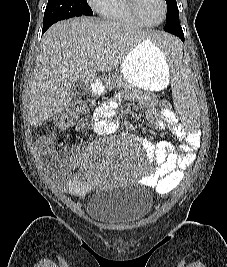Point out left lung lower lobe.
I'll list each match as a JSON object with an SVG mask.
<instances>
[{
    "label": "left lung lower lobe",
    "mask_w": 227,
    "mask_h": 267,
    "mask_svg": "<svg viewBox=\"0 0 227 267\" xmlns=\"http://www.w3.org/2000/svg\"><path fill=\"white\" fill-rule=\"evenodd\" d=\"M164 30L175 36H178L184 42V34L179 22V15L167 21Z\"/></svg>",
    "instance_id": "0a47b994"
}]
</instances>
